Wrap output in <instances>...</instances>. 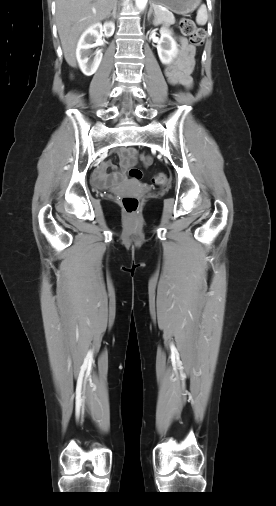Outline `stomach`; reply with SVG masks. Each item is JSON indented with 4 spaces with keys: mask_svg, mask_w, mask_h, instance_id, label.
<instances>
[{
    "mask_svg": "<svg viewBox=\"0 0 276 506\" xmlns=\"http://www.w3.org/2000/svg\"><path fill=\"white\" fill-rule=\"evenodd\" d=\"M201 0H152L156 6H162L177 14H188L194 11Z\"/></svg>",
    "mask_w": 276,
    "mask_h": 506,
    "instance_id": "1",
    "label": "stomach"
}]
</instances>
